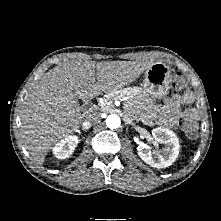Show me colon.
<instances>
[{"instance_id":"obj_1","label":"colon","mask_w":221,"mask_h":221,"mask_svg":"<svg viewBox=\"0 0 221 221\" xmlns=\"http://www.w3.org/2000/svg\"><path fill=\"white\" fill-rule=\"evenodd\" d=\"M173 87L177 90L186 91L187 83L180 73L175 74ZM183 129L189 138L195 139L197 137V124L195 118H183Z\"/></svg>"}]
</instances>
